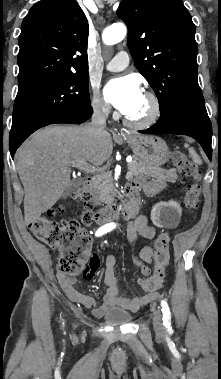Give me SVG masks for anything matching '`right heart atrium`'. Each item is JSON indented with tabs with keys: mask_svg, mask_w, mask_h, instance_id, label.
<instances>
[{
	"mask_svg": "<svg viewBox=\"0 0 221 379\" xmlns=\"http://www.w3.org/2000/svg\"><path fill=\"white\" fill-rule=\"evenodd\" d=\"M91 108L96 115L101 117H106L110 112L108 105L96 89L92 91Z\"/></svg>",
	"mask_w": 221,
	"mask_h": 379,
	"instance_id": "right-heart-atrium-1",
	"label": "right heart atrium"
}]
</instances>
